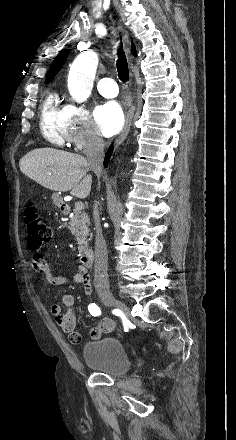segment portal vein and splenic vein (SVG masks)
Masks as SVG:
<instances>
[{
  "label": "portal vein and splenic vein",
  "instance_id": "1",
  "mask_svg": "<svg viewBox=\"0 0 236 440\" xmlns=\"http://www.w3.org/2000/svg\"><path fill=\"white\" fill-rule=\"evenodd\" d=\"M75 209L81 211L82 209H84V204L82 201H77L75 203Z\"/></svg>",
  "mask_w": 236,
  "mask_h": 440
}]
</instances>
